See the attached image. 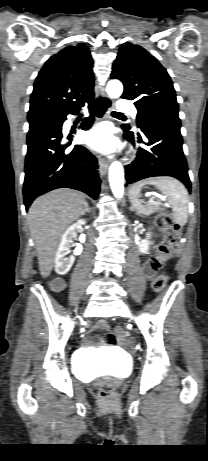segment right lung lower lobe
I'll return each instance as SVG.
<instances>
[{
	"label": "right lung lower lobe",
	"mask_w": 208,
	"mask_h": 461,
	"mask_svg": "<svg viewBox=\"0 0 208 461\" xmlns=\"http://www.w3.org/2000/svg\"><path fill=\"white\" fill-rule=\"evenodd\" d=\"M88 107L93 114V102ZM66 116L28 132L23 184L26 210L36 197L61 187L80 190L94 199L99 195L101 180L97 159L83 146L67 149L71 145V138L65 140L62 134ZM93 118V115L85 118L81 129L88 130Z\"/></svg>",
	"instance_id": "1"
}]
</instances>
